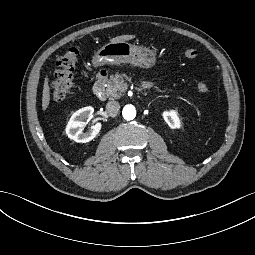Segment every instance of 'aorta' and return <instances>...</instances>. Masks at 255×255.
<instances>
[{
    "instance_id": "obj_1",
    "label": "aorta",
    "mask_w": 255,
    "mask_h": 255,
    "mask_svg": "<svg viewBox=\"0 0 255 255\" xmlns=\"http://www.w3.org/2000/svg\"><path fill=\"white\" fill-rule=\"evenodd\" d=\"M122 115L126 120H133L136 116V109L133 105H126L122 110Z\"/></svg>"
}]
</instances>
